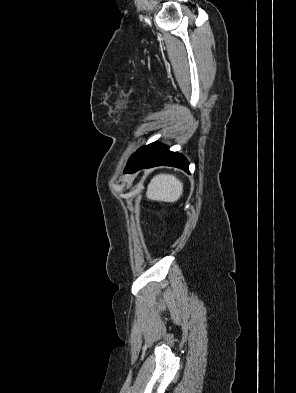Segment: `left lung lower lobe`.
Instances as JSON below:
<instances>
[{"mask_svg": "<svg viewBox=\"0 0 296 393\" xmlns=\"http://www.w3.org/2000/svg\"><path fill=\"white\" fill-rule=\"evenodd\" d=\"M160 165L174 166L189 173L188 161L177 152L169 151L168 147L158 142L151 143L137 150L130 158L124 173H133L142 168Z\"/></svg>", "mask_w": 296, "mask_h": 393, "instance_id": "0a47b994", "label": "left lung lower lobe"}]
</instances>
